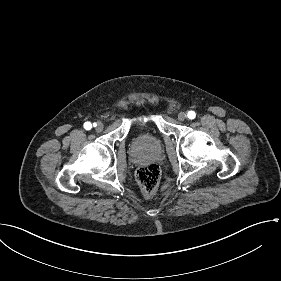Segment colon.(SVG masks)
<instances>
[{
  "instance_id": "obj_1",
  "label": "colon",
  "mask_w": 281,
  "mask_h": 281,
  "mask_svg": "<svg viewBox=\"0 0 281 281\" xmlns=\"http://www.w3.org/2000/svg\"><path fill=\"white\" fill-rule=\"evenodd\" d=\"M160 175V169L154 163L145 164L137 170V180L146 195H150L156 190Z\"/></svg>"
}]
</instances>
